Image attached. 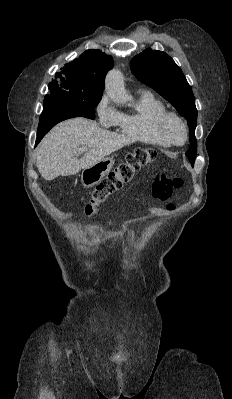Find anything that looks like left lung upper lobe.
<instances>
[{"label":"left lung upper lobe","mask_w":232,"mask_h":399,"mask_svg":"<svg viewBox=\"0 0 232 399\" xmlns=\"http://www.w3.org/2000/svg\"><path fill=\"white\" fill-rule=\"evenodd\" d=\"M130 68L139 81L157 91L177 109L180 115L187 119L190 148L186 156L193 166L197 152L194 133L198 112L192 89L183 72L165 52L150 48L135 56L130 62Z\"/></svg>","instance_id":"left-lung-upper-lobe-1"}]
</instances>
